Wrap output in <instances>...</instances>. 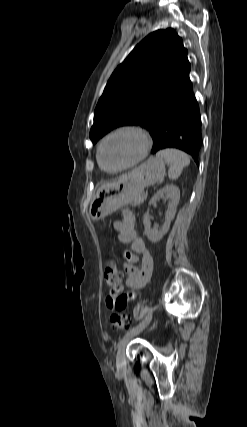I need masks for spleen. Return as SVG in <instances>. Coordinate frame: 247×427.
Listing matches in <instances>:
<instances>
[{
	"label": "spleen",
	"instance_id": "3e777b00",
	"mask_svg": "<svg viewBox=\"0 0 247 427\" xmlns=\"http://www.w3.org/2000/svg\"><path fill=\"white\" fill-rule=\"evenodd\" d=\"M156 157L164 159L169 165L168 176L171 180L178 179L183 168L190 164V158L185 152L173 148L160 150Z\"/></svg>",
	"mask_w": 247,
	"mask_h": 427
}]
</instances>
